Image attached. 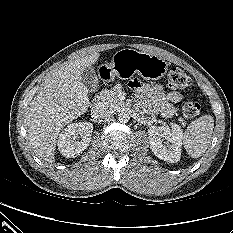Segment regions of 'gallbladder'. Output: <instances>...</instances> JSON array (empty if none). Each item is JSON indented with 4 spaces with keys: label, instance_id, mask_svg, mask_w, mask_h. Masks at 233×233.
Listing matches in <instances>:
<instances>
[{
    "label": "gallbladder",
    "instance_id": "obj_1",
    "mask_svg": "<svg viewBox=\"0 0 233 233\" xmlns=\"http://www.w3.org/2000/svg\"><path fill=\"white\" fill-rule=\"evenodd\" d=\"M81 78L88 90L92 92L97 90L99 81L94 66L86 67L81 73Z\"/></svg>",
    "mask_w": 233,
    "mask_h": 233
}]
</instances>
